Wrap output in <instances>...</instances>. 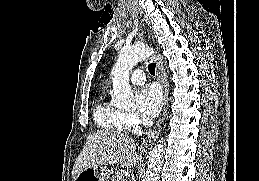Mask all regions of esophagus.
Wrapping results in <instances>:
<instances>
[{
	"instance_id": "1",
	"label": "esophagus",
	"mask_w": 259,
	"mask_h": 181,
	"mask_svg": "<svg viewBox=\"0 0 259 181\" xmlns=\"http://www.w3.org/2000/svg\"><path fill=\"white\" fill-rule=\"evenodd\" d=\"M154 59L156 61L157 76H158V79H159V81H160V83L163 87V99H164V101H163V112H162V115H161L160 119L156 123L155 127L148 133L147 137L144 139V141L142 143L143 148L149 147L156 140L157 136L159 135V133L161 131L162 125L164 123L166 113H167V107H168V82H167V77L165 75L163 64H162V61L160 60L159 55L158 54L155 55Z\"/></svg>"
}]
</instances>
